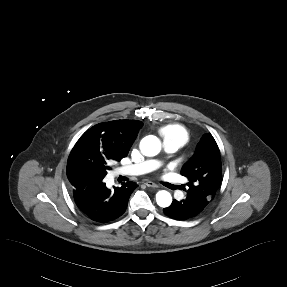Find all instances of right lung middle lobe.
Wrapping results in <instances>:
<instances>
[{
	"label": "right lung middle lobe",
	"instance_id": "1",
	"mask_svg": "<svg viewBox=\"0 0 287 287\" xmlns=\"http://www.w3.org/2000/svg\"><path fill=\"white\" fill-rule=\"evenodd\" d=\"M121 158L99 148L84 147L78 142L72 149L67 162V177L69 180L81 173L93 172L105 176L111 170V164Z\"/></svg>",
	"mask_w": 287,
	"mask_h": 287
}]
</instances>
